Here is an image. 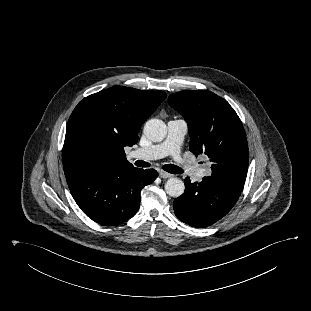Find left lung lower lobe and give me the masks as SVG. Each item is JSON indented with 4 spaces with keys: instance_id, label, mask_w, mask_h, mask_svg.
<instances>
[{
    "instance_id": "obj_1",
    "label": "left lung lower lobe",
    "mask_w": 311,
    "mask_h": 311,
    "mask_svg": "<svg viewBox=\"0 0 311 311\" xmlns=\"http://www.w3.org/2000/svg\"><path fill=\"white\" fill-rule=\"evenodd\" d=\"M241 191L207 176L201 182L185 179V191L173 203L175 215L182 222L197 228L214 224L235 205Z\"/></svg>"
}]
</instances>
